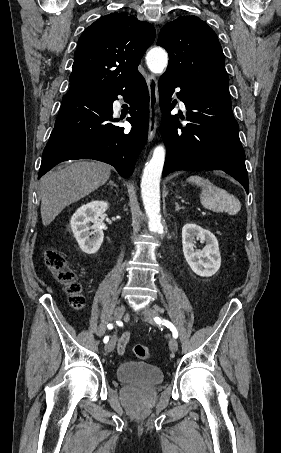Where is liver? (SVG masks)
<instances>
[{"label":"liver","mask_w":281,"mask_h":453,"mask_svg":"<svg viewBox=\"0 0 281 453\" xmlns=\"http://www.w3.org/2000/svg\"><path fill=\"white\" fill-rule=\"evenodd\" d=\"M110 164L77 160L62 170H50L40 178L41 218L44 227L72 202L84 198L109 180Z\"/></svg>","instance_id":"6515ba94"}]
</instances>
